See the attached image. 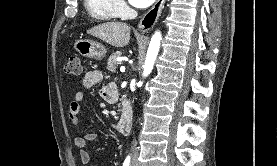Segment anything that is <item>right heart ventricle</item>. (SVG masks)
<instances>
[{
    "mask_svg": "<svg viewBox=\"0 0 277 166\" xmlns=\"http://www.w3.org/2000/svg\"><path fill=\"white\" fill-rule=\"evenodd\" d=\"M89 16L98 22H107L116 19L120 12L115 0H83Z\"/></svg>",
    "mask_w": 277,
    "mask_h": 166,
    "instance_id": "obj_1",
    "label": "right heart ventricle"
}]
</instances>
